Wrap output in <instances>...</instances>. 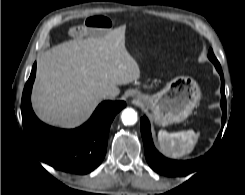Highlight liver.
<instances>
[{"instance_id":"6515ba94","label":"liver","mask_w":245,"mask_h":195,"mask_svg":"<svg viewBox=\"0 0 245 195\" xmlns=\"http://www.w3.org/2000/svg\"><path fill=\"white\" fill-rule=\"evenodd\" d=\"M126 26L102 37L74 39L43 52L37 60L32 103L44 122L74 128L86 121L104 91L140 78V68L125 47ZM115 96V97H116Z\"/></svg>"}]
</instances>
